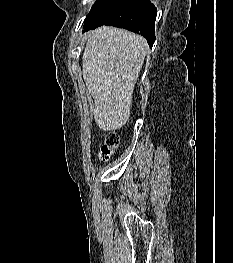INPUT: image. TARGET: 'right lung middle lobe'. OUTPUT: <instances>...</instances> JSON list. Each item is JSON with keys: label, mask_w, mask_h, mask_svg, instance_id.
<instances>
[{"label": "right lung middle lobe", "mask_w": 233, "mask_h": 263, "mask_svg": "<svg viewBox=\"0 0 233 263\" xmlns=\"http://www.w3.org/2000/svg\"><path fill=\"white\" fill-rule=\"evenodd\" d=\"M129 0H97L86 21L104 23L117 14Z\"/></svg>", "instance_id": "right-lung-middle-lobe-1"}]
</instances>
